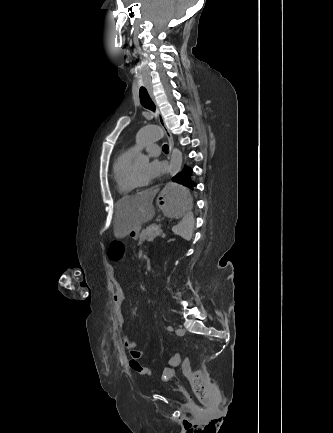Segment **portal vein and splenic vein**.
I'll return each mask as SVG.
<instances>
[{
	"label": "portal vein and splenic vein",
	"mask_w": 333,
	"mask_h": 433,
	"mask_svg": "<svg viewBox=\"0 0 333 433\" xmlns=\"http://www.w3.org/2000/svg\"><path fill=\"white\" fill-rule=\"evenodd\" d=\"M160 234H162V237H164V234L162 233V230H161V231H158V232L156 233V235H160ZM154 239H155V235H151V236L148 238V241L151 242V241H154Z\"/></svg>",
	"instance_id": "18ae733b"
}]
</instances>
